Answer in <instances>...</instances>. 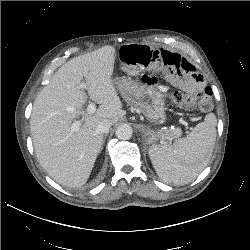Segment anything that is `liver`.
<instances>
[{"mask_svg": "<svg viewBox=\"0 0 250 250\" xmlns=\"http://www.w3.org/2000/svg\"><path fill=\"white\" fill-rule=\"evenodd\" d=\"M116 49L104 46L71 59L53 75L37 95L30 119L35 154L48 175L66 187L83 186L103 145L97 130L103 121L112 124L126 111L116 91L112 75ZM99 104L93 114L85 113L87 95L80 83ZM82 115L83 124L73 131V121Z\"/></svg>", "mask_w": 250, "mask_h": 250, "instance_id": "obj_1", "label": "liver"}]
</instances>
